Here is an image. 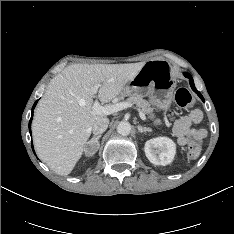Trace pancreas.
<instances>
[{
	"mask_svg": "<svg viewBox=\"0 0 234 234\" xmlns=\"http://www.w3.org/2000/svg\"><path fill=\"white\" fill-rule=\"evenodd\" d=\"M127 102L132 105H136L144 114L148 115L149 118L153 119L155 117L154 110L147 100H144L139 96H130ZM155 125L161 124L160 119L154 121Z\"/></svg>",
	"mask_w": 234,
	"mask_h": 234,
	"instance_id": "cf45deb5",
	"label": "pancreas"
}]
</instances>
